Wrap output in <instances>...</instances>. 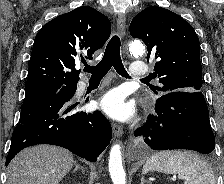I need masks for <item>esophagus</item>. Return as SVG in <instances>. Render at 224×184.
Here are the masks:
<instances>
[{
    "instance_id": "34e87169",
    "label": "esophagus",
    "mask_w": 224,
    "mask_h": 184,
    "mask_svg": "<svg viewBox=\"0 0 224 184\" xmlns=\"http://www.w3.org/2000/svg\"><path fill=\"white\" fill-rule=\"evenodd\" d=\"M116 26H117L119 36L123 38L125 36V31H126V17L124 14H120L118 16ZM112 130L116 137H121L123 134V128L116 123H112Z\"/></svg>"
}]
</instances>
